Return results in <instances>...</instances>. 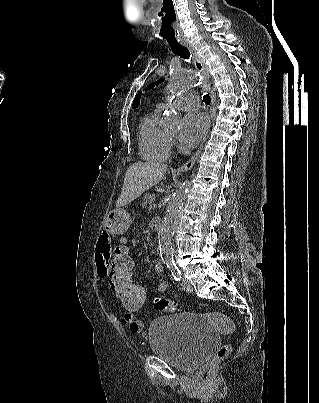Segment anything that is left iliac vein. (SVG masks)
I'll list each match as a JSON object with an SVG mask.
<instances>
[{"label": "left iliac vein", "instance_id": "left-iliac-vein-1", "mask_svg": "<svg viewBox=\"0 0 319 403\" xmlns=\"http://www.w3.org/2000/svg\"><path fill=\"white\" fill-rule=\"evenodd\" d=\"M181 287L187 293H192L193 292V287L187 280L183 279L181 281Z\"/></svg>", "mask_w": 319, "mask_h": 403}]
</instances>
